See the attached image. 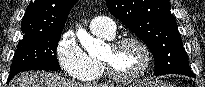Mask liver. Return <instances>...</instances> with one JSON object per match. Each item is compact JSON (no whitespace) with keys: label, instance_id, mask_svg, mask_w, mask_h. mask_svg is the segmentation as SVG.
Listing matches in <instances>:
<instances>
[{"label":"liver","instance_id":"1","mask_svg":"<svg viewBox=\"0 0 205 87\" xmlns=\"http://www.w3.org/2000/svg\"><path fill=\"white\" fill-rule=\"evenodd\" d=\"M9 87H113L104 84H84L62 78L56 74L29 71L17 75Z\"/></svg>","mask_w":205,"mask_h":87}]
</instances>
